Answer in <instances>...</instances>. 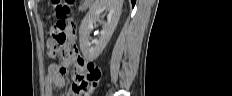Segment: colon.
I'll use <instances>...</instances> for the list:
<instances>
[{"label":"colon","mask_w":232,"mask_h":96,"mask_svg":"<svg viewBox=\"0 0 232 96\" xmlns=\"http://www.w3.org/2000/svg\"><path fill=\"white\" fill-rule=\"evenodd\" d=\"M73 0H53L54 21L52 22L49 34L51 42L55 44V48L50 50L52 55H59L62 58L78 57L77 68L75 71V82L78 84L80 92L85 93L88 90V81H96L101 71L95 68H84V63H91L79 57L76 46L66 45L71 35H67L68 19H71Z\"/></svg>","instance_id":"1"}]
</instances>
